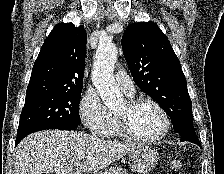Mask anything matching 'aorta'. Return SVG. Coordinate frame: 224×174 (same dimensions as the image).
Here are the masks:
<instances>
[{
    "label": "aorta",
    "mask_w": 224,
    "mask_h": 174,
    "mask_svg": "<svg viewBox=\"0 0 224 174\" xmlns=\"http://www.w3.org/2000/svg\"><path fill=\"white\" fill-rule=\"evenodd\" d=\"M118 49L111 43H100L95 54L92 70V82L108 108H114L123 102V95L116 86L113 70Z\"/></svg>",
    "instance_id": "aorta-1"
}]
</instances>
